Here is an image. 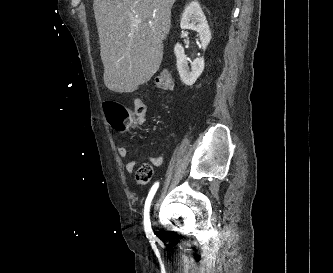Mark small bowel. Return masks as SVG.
Wrapping results in <instances>:
<instances>
[{
    "instance_id": "c3829d8e",
    "label": "small bowel",
    "mask_w": 333,
    "mask_h": 273,
    "mask_svg": "<svg viewBox=\"0 0 333 273\" xmlns=\"http://www.w3.org/2000/svg\"><path fill=\"white\" fill-rule=\"evenodd\" d=\"M147 104L145 103L144 100H140L139 98L135 97L133 98L132 101V107H131V112L133 113L134 118H136L137 125H142L143 123H146L147 121ZM118 154L121 158H128L129 157V151L126 147L124 146H118L117 148ZM149 163L155 167H160L164 164L165 161V156L164 155H159V156H147L146 157ZM137 165V162L135 160H129L125 164V170L128 173H132Z\"/></svg>"
}]
</instances>
